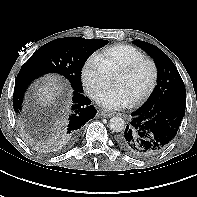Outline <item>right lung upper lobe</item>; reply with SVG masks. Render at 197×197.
Masks as SVG:
<instances>
[{"mask_svg":"<svg viewBox=\"0 0 197 197\" xmlns=\"http://www.w3.org/2000/svg\"><path fill=\"white\" fill-rule=\"evenodd\" d=\"M21 124L25 127H28L30 129H33L34 131H37L38 129L36 128L35 124L32 123V121H30L27 118L21 117Z\"/></svg>","mask_w":197,"mask_h":197,"instance_id":"cb5924a9","label":"right lung upper lobe"}]
</instances>
